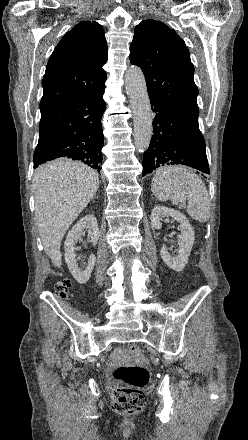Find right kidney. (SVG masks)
<instances>
[{"label":"right kidney","mask_w":248,"mask_h":440,"mask_svg":"<svg viewBox=\"0 0 248 440\" xmlns=\"http://www.w3.org/2000/svg\"><path fill=\"white\" fill-rule=\"evenodd\" d=\"M84 229L88 230V237L95 246L100 237V232L96 217L94 215H86L85 217L81 218L69 231L64 243L65 261L71 274L80 284H85L88 282L96 262V257L94 255H90L86 268L82 269L78 267V263L75 259V244L78 238L82 235Z\"/></svg>","instance_id":"ca27d5eb"}]
</instances>
